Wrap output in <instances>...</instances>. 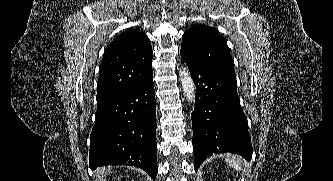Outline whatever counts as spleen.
<instances>
[{"label": "spleen", "mask_w": 333, "mask_h": 181, "mask_svg": "<svg viewBox=\"0 0 333 181\" xmlns=\"http://www.w3.org/2000/svg\"><path fill=\"white\" fill-rule=\"evenodd\" d=\"M226 163L236 171L243 170V160L239 156H232L225 159Z\"/></svg>", "instance_id": "3e777b00"}]
</instances>
